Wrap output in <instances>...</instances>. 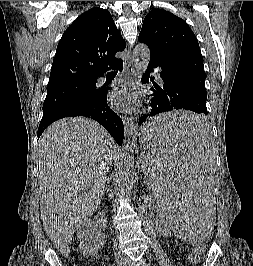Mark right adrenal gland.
Returning a JSON list of instances; mask_svg holds the SVG:
<instances>
[{
    "label": "right adrenal gland",
    "instance_id": "2a0ac1e0",
    "mask_svg": "<svg viewBox=\"0 0 253 266\" xmlns=\"http://www.w3.org/2000/svg\"><path fill=\"white\" fill-rule=\"evenodd\" d=\"M109 186H110V180H109V178H107V184H106V187L104 189V192H108L109 191Z\"/></svg>",
    "mask_w": 253,
    "mask_h": 266
}]
</instances>
